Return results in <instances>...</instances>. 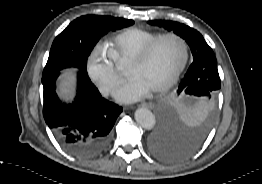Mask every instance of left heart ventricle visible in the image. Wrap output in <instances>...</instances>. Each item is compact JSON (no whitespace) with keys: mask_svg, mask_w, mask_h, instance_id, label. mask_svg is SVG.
Instances as JSON below:
<instances>
[{"mask_svg":"<svg viewBox=\"0 0 262 184\" xmlns=\"http://www.w3.org/2000/svg\"><path fill=\"white\" fill-rule=\"evenodd\" d=\"M183 58L184 48L181 42L168 38L156 46L145 63L129 65L127 72L152 89L169 80L181 65Z\"/></svg>","mask_w":262,"mask_h":184,"instance_id":"obj_1","label":"left heart ventricle"}]
</instances>
